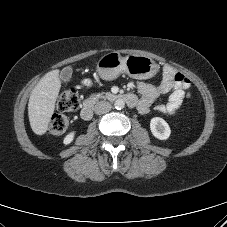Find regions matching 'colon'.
<instances>
[{
	"instance_id": "obj_1",
	"label": "colon",
	"mask_w": 227,
	"mask_h": 227,
	"mask_svg": "<svg viewBox=\"0 0 227 227\" xmlns=\"http://www.w3.org/2000/svg\"><path fill=\"white\" fill-rule=\"evenodd\" d=\"M79 106L80 95L75 88L62 93L57 101V113L52 116L50 121V133L53 135L63 134L69 124L66 114L76 112Z\"/></svg>"
}]
</instances>
